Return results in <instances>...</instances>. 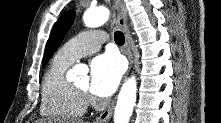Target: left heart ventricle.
Returning a JSON list of instances; mask_svg holds the SVG:
<instances>
[{
	"mask_svg": "<svg viewBox=\"0 0 221 123\" xmlns=\"http://www.w3.org/2000/svg\"><path fill=\"white\" fill-rule=\"evenodd\" d=\"M89 84H90L89 77L83 76L78 81H76L74 85H76L77 87H79L81 89L87 90L89 88Z\"/></svg>",
	"mask_w": 221,
	"mask_h": 123,
	"instance_id": "obj_1",
	"label": "left heart ventricle"
}]
</instances>
